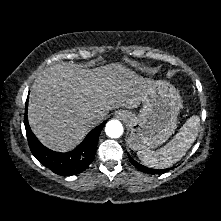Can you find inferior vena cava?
Wrapping results in <instances>:
<instances>
[{"instance_id":"602c4592","label":"inferior vena cava","mask_w":221,"mask_h":221,"mask_svg":"<svg viewBox=\"0 0 221 221\" xmlns=\"http://www.w3.org/2000/svg\"><path fill=\"white\" fill-rule=\"evenodd\" d=\"M99 119H100V116H99V115L93 114V115L88 116L86 120H87L88 123L94 124V123H96Z\"/></svg>"}]
</instances>
